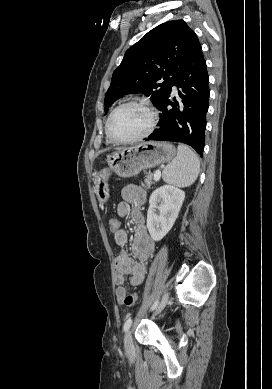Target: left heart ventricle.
Instances as JSON below:
<instances>
[{
	"label": "left heart ventricle",
	"mask_w": 272,
	"mask_h": 389,
	"mask_svg": "<svg viewBox=\"0 0 272 389\" xmlns=\"http://www.w3.org/2000/svg\"><path fill=\"white\" fill-rule=\"evenodd\" d=\"M148 124V113L139 106L130 105L115 113L110 123V131L117 139H128L142 133Z\"/></svg>",
	"instance_id": "1"
}]
</instances>
